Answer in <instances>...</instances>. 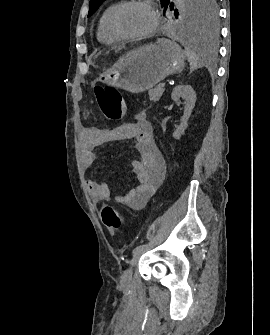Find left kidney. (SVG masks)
Masks as SVG:
<instances>
[{"label":"left kidney","instance_id":"left-kidney-1","mask_svg":"<svg viewBox=\"0 0 270 335\" xmlns=\"http://www.w3.org/2000/svg\"><path fill=\"white\" fill-rule=\"evenodd\" d=\"M171 98L174 102H176L177 106H180L179 98H183V100H185L184 114L182 116L181 124L178 128H176L175 132H173V138L180 140L188 126L187 122L195 106L196 94L192 86H176L171 94Z\"/></svg>","mask_w":270,"mask_h":335}]
</instances>
